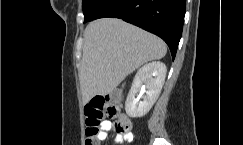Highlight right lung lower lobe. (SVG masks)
Listing matches in <instances>:
<instances>
[{
    "mask_svg": "<svg viewBox=\"0 0 243 145\" xmlns=\"http://www.w3.org/2000/svg\"><path fill=\"white\" fill-rule=\"evenodd\" d=\"M186 0H92L84 22L120 18L161 37L175 58L182 35Z\"/></svg>",
    "mask_w": 243,
    "mask_h": 145,
    "instance_id": "right-lung-lower-lobe-1",
    "label": "right lung lower lobe"
}]
</instances>
